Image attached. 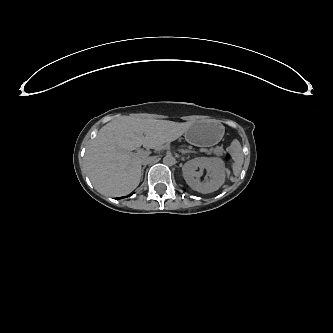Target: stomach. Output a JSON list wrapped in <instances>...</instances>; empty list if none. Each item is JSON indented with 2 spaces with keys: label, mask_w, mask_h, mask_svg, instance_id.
Here are the masks:
<instances>
[{
  "label": "stomach",
  "mask_w": 333,
  "mask_h": 333,
  "mask_svg": "<svg viewBox=\"0 0 333 333\" xmlns=\"http://www.w3.org/2000/svg\"><path fill=\"white\" fill-rule=\"evenodd\" d=\"M186 140L188 143H190L192 145H202V143L200 141H197L194 138H192V136L190 134L186 135Z\"/></svg>",
  "instance_id": "stomach-1"
}]
</instances>
